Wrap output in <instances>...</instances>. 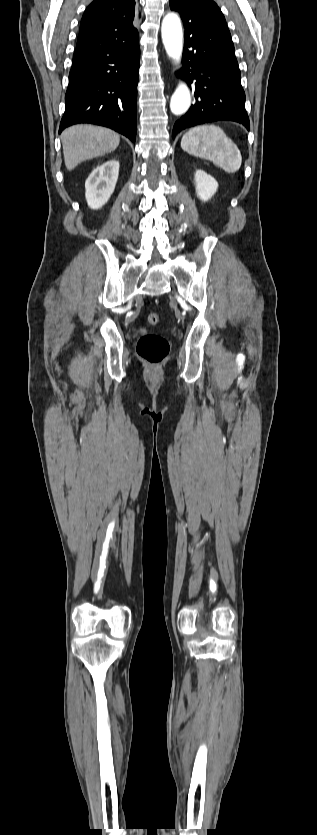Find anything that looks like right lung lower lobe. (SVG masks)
<instances>
[{
	"label": "right lung lower lobe",
	"mask_w": 317,
	"mask_h": 835,
	"mask_svg": "<svg viewBox=\"0 0 317 835\" xmlns=\"http://www.w3.org/2000/svg\"><path fill=\"white\" fill-rule=\"evenodd\" d=\"M139 37L114 48L76 49L59 133L80 123L111 128L136 138Z\"/></svg>",
	"instance_id": "right-lung-lower-lobe-1"
}]
</instances>
